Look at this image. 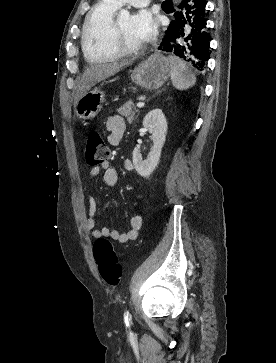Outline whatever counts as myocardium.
<instances>
[{
  "instance_id": "myocardium-1",
  "label": "myocardium",
  "mask_w": 276,
  "mask_h": 363,
  "mask_svg": "<svg viewBox=\"0 0 276 363\" xmlns=\"http://www.w3.org/2000/svg\"><path fill=\"white\" fill-rule=\"evenodd\" d=\"M110 41L112 48L118 53L119 56L137 55L146 48V43L136 47H129L122 42L119 19L117 18L114 19L111 26Z\"/></svg>"
}]
</instances>
